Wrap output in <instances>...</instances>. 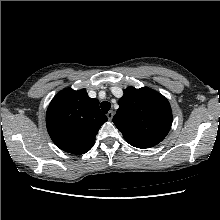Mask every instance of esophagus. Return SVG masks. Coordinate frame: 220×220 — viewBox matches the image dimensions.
<instances>
[{
    "label": "esophagus",
    "mask_w": 220,
    "mask_h": 220,
    "mask_svg": "<svg viewBox=\"0 0 220 220\" xmlns=\"http://www.w3.org/2000/svg\"><path fill=\"white\" fill-rule=\"evenodd\" d=\"M113 116H114V112H113V111H109V112L107 113V118H108V120H112Z\"/></svg>",
    "instance_id": "obj_1"
}]
</instances>
